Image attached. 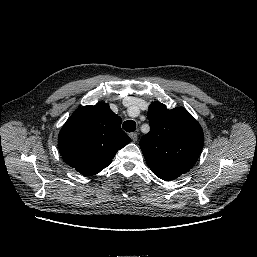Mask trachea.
<instances>
[{"instance_id":"3493384b","label":"trachea","mask_w":257,"mask_h":257,"mask_svg":"<svg viewBox=\"0 0 257 257\" xmlns=\"http://www.w3.org/2000/svg\"><path fill=\"white\" fill-rule=\"evenodd\" d=\"M122 128L127 132H133L136 129V122L133 120H127L123 123Z\"/></svg>"}]
</instances>
